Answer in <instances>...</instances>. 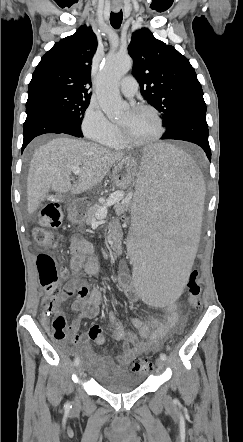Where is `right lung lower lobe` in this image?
Here are the masks:
<instances>
[{"mask_svg": "<svg viewBox=\"0 0 243 442\" xmlns=\"http://www.w3.org/2000/svg\"><path fill=\"white\" fill-rule=\"evenodd\" d=\"M27 118L24 122V140L22 150L36 136L46 133H65L83 137L81 129L76 127L60 112L47 106H31L26 108Z\"/></svg>", "mask_w": 243, "mask_h": 442, "instance_id": "right-lung-lower-lobe-1", "label": "right lung lower lobe"}]
</instances>
